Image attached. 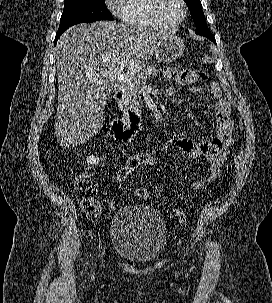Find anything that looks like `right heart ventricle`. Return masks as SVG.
<instances>
[{
	"mask_svg": "<svg viewBox=\"0 0 272 303\" xmlns=\"http://www.w3.org/2000/svg\"><path fill=\"white\" fill-rule=\"evenodd\" d=\"M151 0H124L120 16L123 22L135 27L157 29L150 15Z\"/></svg>",
	"mask_w": 272,
	"mask_h": 303,
	"instance_id": "1",
	"label": "right heart ventricle"
}]
</instances>
